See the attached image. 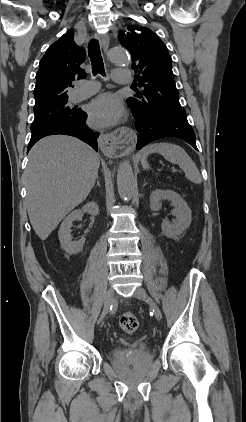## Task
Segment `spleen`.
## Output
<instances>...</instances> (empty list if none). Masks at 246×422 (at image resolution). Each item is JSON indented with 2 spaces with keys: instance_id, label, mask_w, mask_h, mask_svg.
I'll use <instances>...</instances> for the list:
<instances>
[{
  "instance_id": "1",
  "label": "spleen",
  "mask_w": 246,
  "mask_h": 422,
  "mask_svg": "<svg viewBox=\"0 0 246 422\" xmlns=\"http://www.w3.org/2000/svg\"><path fill=\"white\" fill-rule=\"evenodd\" d=\"M151 153H158L167 161L179 165L184 171L185 177L191 182L195 184L202 182L198 168L182 147L171 143H154L145 147L141 152V163L144 169L150 168L147 157Z\"/></svg>"
}]
</instances>
